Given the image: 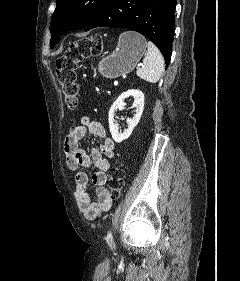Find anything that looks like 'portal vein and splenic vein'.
I'll return each mask as SVG.
<instances>
[{
    "label": "portal vein and splenic vein",
    "instance_id": "obj_1",
    "mask_svg": "<svg viewBox=\"0 0 240 281\" xmlns=\"http://www.w3.org/2000/svg\"><path fill=\"white\" fill-rule=\"evenodd\" d=\"M139 66H141V65H138V67H139ZM114 85H115V86L118 85V81H117V80L114 81Z\"/></svg>",
    "mask_w": 240,
    "mask_h": 281
}]
</instances>
